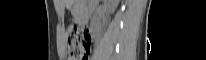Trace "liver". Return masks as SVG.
Segmentation results:
<instances>
[{
	"instance_id": "6515ba94",
	"label": "liver",
	"mask_w": 206,
	"mask_h": 60,
	"mask_svg": "<svg viewBox=\"0 0 206 60\" xmlns=\"http://www.w3.org/2000/svg\"><path fill=\"white\" fill-rule=\"evenodd\" d=\"M60 2L63 4V5H66V6H71L72 3H73V0H60ZM110 2L112 3V9L111 10H115L116 6L118 5L119 1L118 0H110Z\"/></svg>"
}]
</instances>
